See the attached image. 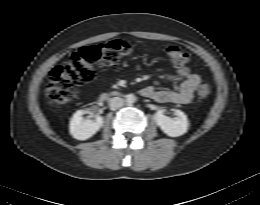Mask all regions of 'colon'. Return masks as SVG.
Listing matches in <instances>:
<instances>
[{"label": "colon", "mask_w": 260, "mask_h": 205, "mask_svg": "<svg viewBox=\"0 0 260 205\" xmlns=\"http://www.w3.org/2000/svg\"><path fill=\"white\" fill-rule=\"evenodd\" d=\"M131 51L130 44L122 40L86 46L75 51L68 61L51 71L45 87L49 102L52 104L73 102L77 97L78 88L95 77L98 65H118L131 54ZM166 53L176 65L184 64L189 59V53L179 46H169ZM195 92L198 98L205 99L209 96L211 87L208 82L200 80Z\"/></svg>", "instance_id": "5ec220e1"}]
</instances>
